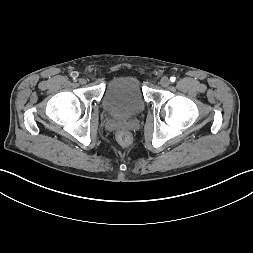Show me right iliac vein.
<instances>
[{
	"instance_id": "right-iliac-vein-1",
	"label": "right iliac vein",
	"mask_w": 253,
	"mask_h": 253,
	"mask_svg": "<svg viewBox=\"0 0 253 253\" xmlns=\"http://www.w3.org/2000/svg\"><path fill=\"white\" fill-rule=\"evenodd\" d=\"M78 81L82 85L86 84V82H87V80L85 78H80Z\"/></svg>"
}]
</instances>
